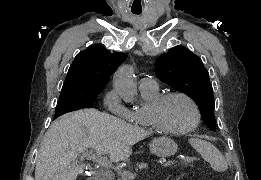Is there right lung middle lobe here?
<instances>
[{"mask_svg": "<svg viewBox=\"0 0 261 180\" xmlns=\"http://www.w3.org/2000/svg\"><path fill=\"white\" fill-rule=\"evenodd\" d=\"M101 91L88 88H62L54 118L80 108H90Z\"/></svg>", "mask_w": 261, "mask_h": 180, "instance_id": "1", "label": "right lung middle lobe"}]
</instances>
